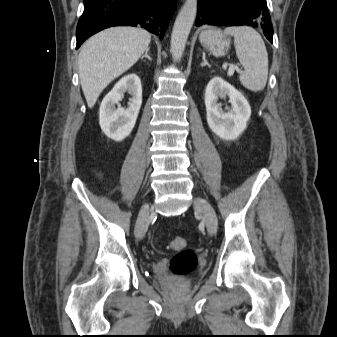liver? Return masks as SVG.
Returning a JSON list of instances; mask_svg holds the SVG:
<instances>
[{"instance_id":"1","label":"liver","mask_w":337,"mask_h":337,"mask_svg":"<svg viewBox=\"0 0 337 337\" xmlns=\"http://www.w3.org/2000/svg\"><path fill=\"white\" fill-rule=\"evenodd\" d=\"M151 35L135 27H112L86 41L79 53L81 87L88 107L116 77L130 69L148 49Z\"/></svg>"}]
</instances>
